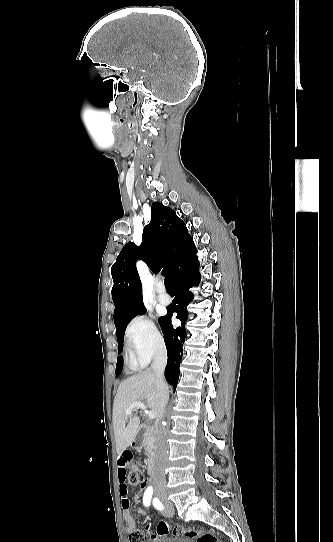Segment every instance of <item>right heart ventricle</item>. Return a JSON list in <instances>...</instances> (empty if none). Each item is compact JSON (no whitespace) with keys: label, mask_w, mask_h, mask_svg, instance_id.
I'll return each mask as SVG.
<instances>
[{"label":"right heart ventricle","mask_w":333,"mask_h":542,"mask_svg":"<svg viewBox=\"0 0 333 542\" xmlns=\"http://www.w3.org/2000/svg\"><path fill=\"white\" fill-rule=\"evenodd\" d=\"M125 361L130 369L140 370L148 364L149 358L144 356L138 348L127 346L125 350Z\"/></svg>","instance_id":"1"}]
</instances>
